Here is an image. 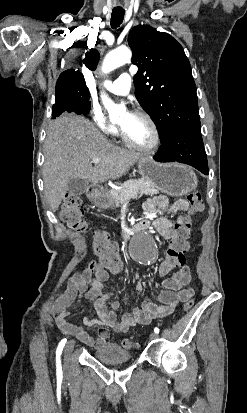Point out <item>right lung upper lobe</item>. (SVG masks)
<instances>
[{"mask_svg":"<svg viewBox=\"0 0 247 413\" xmlns=\"http://www.w3.org/2000/svg\"><path fill=\"white\" fill-rule=\"evenodd\" d=\"M99 61V53L96 49H91L90 52L86 53V58L84 60L86 67L90 70H95ZM66 81H85L83 74L80 71H75L74 69H69L62 72L57 80L59 82Z\"/></svg>","mask_w":247,"mask_h":413,"instance_id":"cb5924a9","label":"right lung upper lobe"}]
</instances>
